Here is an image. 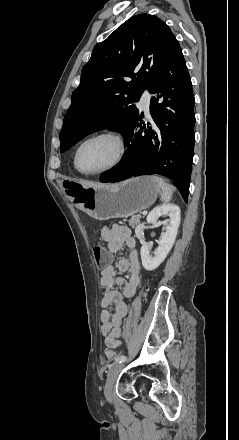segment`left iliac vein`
I'll return each mask as SVG.
<instances>
[{
    "label": "left iliac vein",
    "mask_w": 239,
    "mask_h": 440,
    "mask_svg": "<svg viewBox=\"0 0 239 440\" xmlns=\"http://www.w3.org/2000/svg\"><path fill=\"white\" fill-rule=\"evenodd\" d=\"M123 367H124L123 363L116 362L109 369L106 384H105V389H104L105 396L109 402H112L113 386H114V383H115L120 371L123 369Z\"/></svg>",
    "instance_id": "1"
}]
</instances>
